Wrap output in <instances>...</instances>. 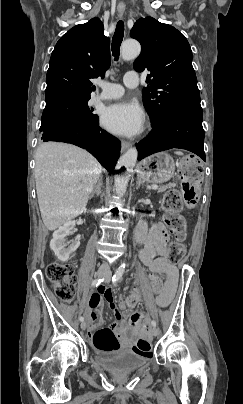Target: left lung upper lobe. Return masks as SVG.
Returning <instances> with one entry per match:
<instances>
[{
    "label": "left lung upper lobe",
    "instance_id": "1",
    "mask_svg": "<svg viewBox=\"0 0 243 404\" xmlns=\"http://www.w3.org/2000/svg\"><path fill=\"white\" fill-rule=\"evenodd\" d=\"M130 36L142 46L134 69L150 72L143 103L152 124L176 107L201 108L192 51L184 35L171 25L146 17L136 21Z\"/></svg>",
    "mask_w": 243,
    "mask_h": 404
}]
</instances>
